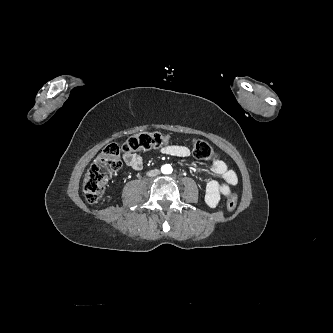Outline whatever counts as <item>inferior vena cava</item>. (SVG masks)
Wrapping results in <instances>:
<instances>
[{
    "label": "inferior vena cava",
    "mask_w": 333,
    "mask_h": 333,
    "mask_svg": "<svg viewBox=\"0 0 333 333\" xmlns=\"http://www.w3.org/2000/svg\"><path fill=\"white\" fill-rule=\"evenodd\" d=\"M159 173H160V171L158 169H154V170L148 171L147 176L154 177V176H157Z\"/></svg>",
    "instance_id": "obj_1"
}]
</instances>
